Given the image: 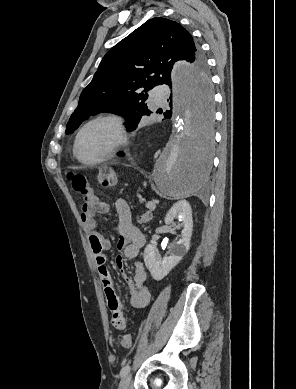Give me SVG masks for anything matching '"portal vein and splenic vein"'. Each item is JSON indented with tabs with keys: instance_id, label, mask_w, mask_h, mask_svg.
<instances>
[{
	"instance_id": "1",
	"label": "portal vein and splenic vein",
	"mask_w": 296,
	"mask_h": 389,
	"mask_svg": "<svg viewBox=\"0 0 296 389\" xmlns=\"http://www.w3.org/2000/svg\"><path fill=\"white\" fill-rule=\"evenodd\" d=\"M156 203H158L157 200L150 201V202H148V203L146 204V207H147L148 209H150V210H153V209H155V207H156Z\"/></svg>"
}]
</instances>
